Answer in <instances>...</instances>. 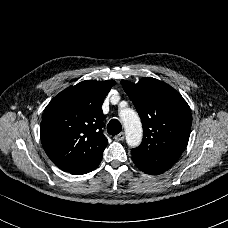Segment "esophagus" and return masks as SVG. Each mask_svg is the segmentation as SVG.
Returning <instances> with one entry per match:
<instances>
[{"instance_id": "1", "label": "esophagus", "mask_w": 228, "mask_h": 228, "mask_svg": "<svg viewBox=\"0 0 228 228\" xmlns=\"http://www.w3.org/2000/svg\"><path fill=\"white\" fill-rule=\"evenodd\" d=\"M124 138H125L124 132H121V133H119L118 135H116V136L114 137V139H115L116 141H122V140H124Z\"/></svg>"}]
</instances>
